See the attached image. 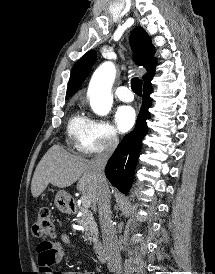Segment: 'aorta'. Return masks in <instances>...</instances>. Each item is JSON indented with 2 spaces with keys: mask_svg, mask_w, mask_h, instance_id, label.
I'll list each match as a JSON object with an SVG mask.
<instances>
[{
  "mask_svg": "<svg viewBox=\"0 0 215 274\" xmlns=\"http://www.w3.org/2000/svg\"><path fill=\"white\" fill-rule=\"evenodd\" d=\"M116 68L112 62H104L95 71L89 84L88 94L92 110L101 116L111 110L113 99L111 87L115 78Z\"/></svg>",
  "mask_w": 215,
  "mask_h": 274,
  "instance_id": "1",
  "label": "aorta"
}]
</instances>
